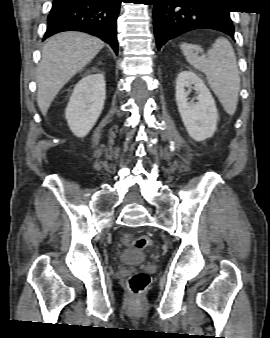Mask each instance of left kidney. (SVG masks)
<instances>
[{
	"instance_id": "5707ae66",
	"label": "left kidney",
	"mask_w": 270,
	"mask_h": 338,
	"mask_svg": "<svg viewBox=\"0 0 270 338\" xmlns=\"http://www.w3.org/2000/svg\"><path fill=\"white\" fill-rule=\"evenodd\" d=\"M197 92V102L188 101L189 91ZM176 103L183 124L189 136L196 141H203L213 136L218 121V112L214 98L203 80L193 71H181L176 80Z\"/></svg>"
}]
</instances>
